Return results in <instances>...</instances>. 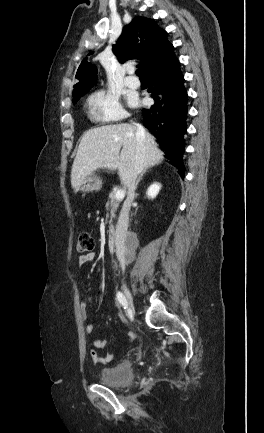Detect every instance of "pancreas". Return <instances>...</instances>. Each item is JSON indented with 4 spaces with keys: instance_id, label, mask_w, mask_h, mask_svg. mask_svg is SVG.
Instances as JSON below:
<instances>
[{
    "instance_id": "pancreas-1",
    "label": "pancreas",
    "mask_w": 264,
    "mask_h": 433,
    "mask_svg": "<svg viewBox=\"0 0 264 433\" xmlns=\"http://www.w3.org/2000/svg\"><path fill=\"white\" fill-rule=\"evenodd\" d=\"M116 191L113 190L109 194V201L106 203V210L108 211L107 215H110V225L112 226V220L116 216L117 208L119 207L120 200L116 199L115 197Z\"/></svg>"
}]
</instances>
